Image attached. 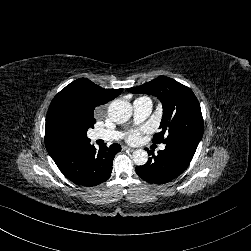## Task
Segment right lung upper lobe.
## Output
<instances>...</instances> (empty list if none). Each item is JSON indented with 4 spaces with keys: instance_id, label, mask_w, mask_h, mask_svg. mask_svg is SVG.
<instances>
[{
    "instance_id": "cb5924a9",
    "label": "right lung upper lobe",
    "mask_w": 251,
    "mask_h": 251,
    "mask_svg": "<svg viewBox=\"0 0 251 251\" xmlns=\"http://www.w3.org/2000/svg\"><path fill=\"white\" fill-rule=\"evenodd\" d=\"M123 89H104L86 78H80L62 89L52 100L47 115L53 112H66L84 119H94L95 107L103 105L118 95ZM82 136L61 135L45 127V146L51 157L64 147L87 142Z\"/></svg>"
}]
</instances>
